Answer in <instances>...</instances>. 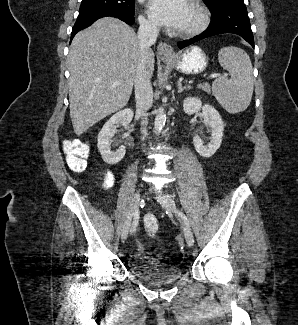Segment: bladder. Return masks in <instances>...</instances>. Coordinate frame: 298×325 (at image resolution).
<instances>
[{"mask_svg": "<svg viewBox=\"0 0 298 325\" xmlns=\"http://www.w3.org/2000/svg\"><path fill=\"white\" fill-rule=\"evenodd\" d=\"M133 272L140 281L152 287L173 284L182 276L181 270L177 267L163 265L143 257L138 259Z\"/></svg>", "mask_w": 298, "mask_h": 325, "instance_id": "31cf9c89", "label": "bladder"}]
</instances>
